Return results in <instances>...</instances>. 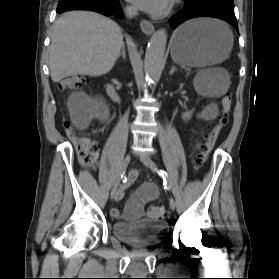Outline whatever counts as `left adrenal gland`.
Wrapping results in <instances>:
<instances>
[{
  "instance_id": "obj_1",
  "label": "left adrenal gland",
  "mask_w": 279,
  "mask_h": 279,
  "mask_svg": "<svg viewBox=\"0 0 279 279\" xmlns=\"http://www.w3.org/2000/svg\"><path fill=\"white\" fill-rule=\"evenodd\" d=\"M176 71V68L175 66L173 65L170 72H169V75H173V73Z\"/></svg>"
}]
</instances>
